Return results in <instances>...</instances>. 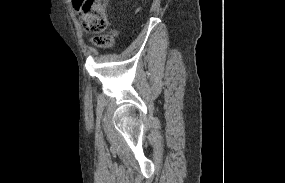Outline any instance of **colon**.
<instances>
[{
	"instance_id": "5ec220e1",
	"label": "colon",
	"mask_w": 285,
	"mask_h": 183,
	"mask_svg": "<svg viewBox=\"0 0 285 183\" xmlns=\"http://www.w3.org/2000/svg\"><path fill=\"white\" fill-rule=\"evenodd\" d=\"M108 2L109 0H74L84 30L99 34L95 37L94 44L100 48H109L113 43L112 34H104L109 27Z\"/></svg>"
}]
</instances>
